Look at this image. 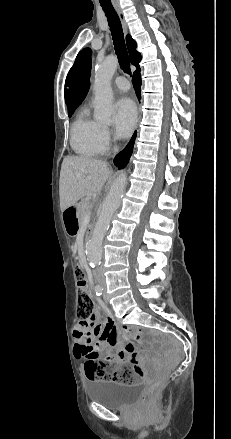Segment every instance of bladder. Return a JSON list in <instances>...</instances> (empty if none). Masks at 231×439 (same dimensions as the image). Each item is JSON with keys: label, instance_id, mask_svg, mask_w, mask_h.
Returning a JSON list of instances; mask_svg holds the SVG:
<instances>
[{"label": "bladder", "instance_id": "1", "mask_svg": "<svg viewBox=\"0 0 231 439\" xmlns=\"http://www.w3.org/2000/svg\"><path fill=\"white\" fill-rule=\"evenodd\" d=\"M138 382L117 384L107 380H93L88 383L87 396L110 409L121 408L134 401L141 393Z\"/></svg>", "mask_w": 231, "mask_h": 439}]
</instances>
